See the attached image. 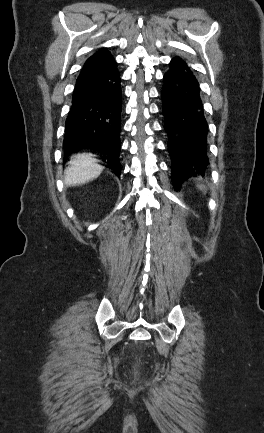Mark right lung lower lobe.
I'll use <instances>...</instances> for the list:
<instances>
[{
    "label": "right lung lower lobe",
    "instance_id": "obj_1",
    "mask_svg": "<svg viewBox=\"0 0 264 433\" xmlns=\"http://www.w3.org/2000/svg\"><path fill=\"white\" fill-rule=\"evenodd\" d=\"M117 64L109 53L96 52L85 62L77 80L65 123V155L78 148L102 154L120 176L121 87Z\"/></svg>",
    "mask_w": 264,
    "mask_h": 433
}]
</instances>
